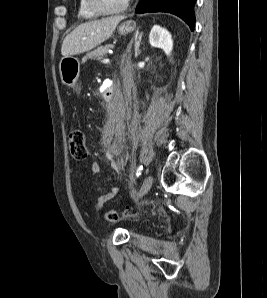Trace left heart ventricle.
Returning a JSON list of instances; mask_svg holds the SVG:
<instances>
[{"instance_id": "1", "label": "left heart ventricle", "mask_w": 267, "mask_h": 298, "mask_svg": "<svg viewBox=\"0 0 267 298\" xmlns=\"http://www.w3.org/2000/svg\"><path fill=\"white\" fill-rule=\"evenodd\" d=\"M125 1L126 0H99L101 6L109 11L120 8Z\"/></svg>"}]
</instances>
